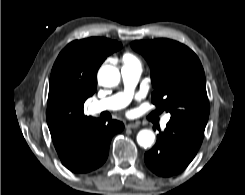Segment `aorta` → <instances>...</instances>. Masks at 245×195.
<instances>
[{
  "label": "aorta",
  "instance_id": "1",
  "mask_svg": "<svg viewBox=\"0 0 245 195\" xmlns=\"http://www.w3.org/2000/svg\"><path fill=\"white\" fill-rule=\"evenodd\" d=\"M99 83L104 87H114L120 82V72L118 68L105 65L98 72ZM155 134L148 129L140 130L137 134V142L143 148H149L153 145Z\"/></svg>",
  "mask_w": 245,
  "mask_h": 195
}]
</instances>
